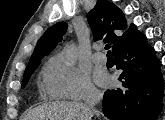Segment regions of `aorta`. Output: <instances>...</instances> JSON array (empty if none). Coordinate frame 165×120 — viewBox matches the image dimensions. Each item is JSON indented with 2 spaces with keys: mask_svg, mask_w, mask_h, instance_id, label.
<instances>
[{
  "mask_svg": "<svg viewBox=\"0 0 165 120\" xmlns=\"http://www.w3.org/2000/svg\"><path fill=\"white\" fill-rule=\"evenodd\" d=\"M63 54L68 60H75L78 56V48L75 45H69L65 48Z\"/></svg>",
  "mask_w": 165,
  "mask_h": 120,
  "instance_id": "1",
  "label": "aorta"
}]
</instances>
